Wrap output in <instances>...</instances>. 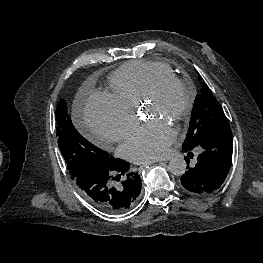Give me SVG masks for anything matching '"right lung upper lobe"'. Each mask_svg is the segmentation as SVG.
<instances>
[{
  "label": "right lung upper lobe",
  "instance_id": "1",
  "mask_svg": "<svg viewBox=\"0 0 263 263\" xmlns=\"http://www.w3.org/2000/svg\"><path fill=\"white\" fill-rule=\"evenodd\" d=\"M126 210H127L126 208L113 209L112 213H119V212H123V211H126Z\"/></svg>",
  "mask_w": 263,
  "mask_h": 263
}]
</instances>
